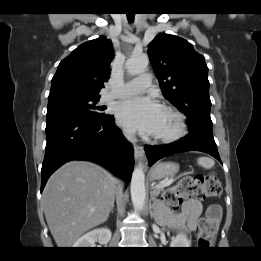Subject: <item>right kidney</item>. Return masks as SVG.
Listing matches in <instances>:
<instances>
[{
    "instance_id": "ca27d5eb",
    "label": "right kidney",
    "mask_w": 261,
    "mask_h": 261,
    "mask_svg": "<svg viewBox=\"0 0 261 261\" xmlns=\"http://www.w3.org/2000/svg\"><path fill=\"white\" fill-rule=\"evenodd\" d=\"M111 231L108 228L94 229L81 236L74 244V248H88L95 245V241L99 239L102 244H107L111 240Z\"/></svg>"
}]
</instances>
